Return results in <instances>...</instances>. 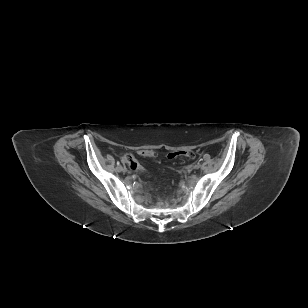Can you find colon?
<instances>
[{
	"instance_id": "colon-1",
	"label": "colon",
	"mask_w": 308,
	"mask_h": 308,
	"mask_svg": "<svg viewBox=\"0 0 308 308\" xmlns=\"http://www.w3.org/2000/svg\"><path fill=\"white\" fill-rule=\"evenodd\" d=\"M139 154L143 157H152L154 155V152L152 150L144 149V150L139 151ZM179 156L192 157L193 152L192 151H178V152H171L168 154L169 159H175ZM123 161L128 162L132 170L142 171L144 169L143 166L139 164L135 159H133L132 156L129 154L123 156Z\"/></svg>"
}]
</instances>
